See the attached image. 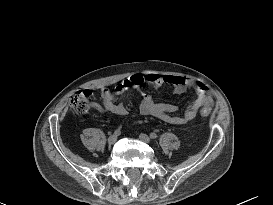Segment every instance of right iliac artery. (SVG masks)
I'll return each mask as SVG.
<instances>
[{"mask_svg": "<svg viewBox=\"0 0 273 205\" xmlns=\"http://www.w3.org/2000/svg\"><path fill=\"white\" fill-rule=\"evenodd\" d=\"M114 134H116V135H120V134H121V130H120V128H118L117 130H115Z\"/></svg>", "mask_w": 273, "mask_h": 205, "instance_id": "obj_1", "label": "right iliac artery"}]
</instances>
